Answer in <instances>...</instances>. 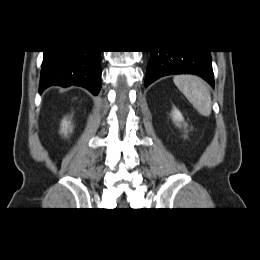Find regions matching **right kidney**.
Segmentation results:
<instances>
[{
  "instance_id": "obj_1",
  "label": "right kidney",
  "mask_w": 260,
  "mask_h": 260,
  "mask_svg": "<svg viewBox=\"0 0 260 260\" xmlns=\"http://www.w3.org/2000/svg\"><path fill=\"white\" fill-rule=\"evenodd\" d=\"M61 132L64 133L65 135L68 134V131L72 129L71 127V122L70 121H67V119H64L62 121V124H61Z\"/></svg>"
}]
</instances>
